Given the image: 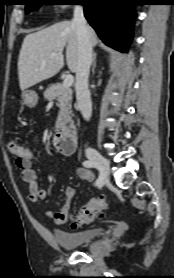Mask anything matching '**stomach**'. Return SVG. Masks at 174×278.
Wrapping results in <instances>:
<instances>
[{
    "instance_id": "0dacf381",
    "label": "stomach",
    "mask_w": 174,
    "mask_h": 278,
    "mask_svg": "<svg viewBox=\"0 0 174 278\" xmlns=\"http://www.w3.org/2000/svg\"><path fill=\"white\" fill-rule=\"evenodd\" d=\"M22 100L25 105L28 107H34L38 102L37 94L32 90L23 91Z\"/></svg>"
}]
</instances>
